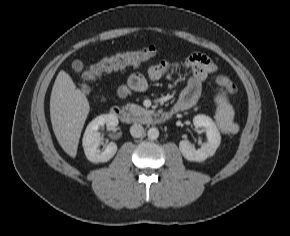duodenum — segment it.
Here are the masks:
<instances>
[{"mask_svg": "<svg viewBox=\"0 0 290 236\" xmlns=\"http://www.w3.org/2000/svg\"><path fill=\"white\" fill-rule=\"evenodd\" d=\"M111 113L125 124H134V123L162 124L168 121L172 116V112H159V111H150L146 113L137 114L120 107H113L111 109Z\"/></svg>", "mask_w": 290, "mask_h": 236, "instance_id": "1", "label": "duodenum"}]
</instances>
